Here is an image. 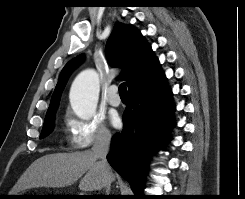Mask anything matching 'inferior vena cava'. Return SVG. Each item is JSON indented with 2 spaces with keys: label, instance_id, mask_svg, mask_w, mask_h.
I'll return each instance as SVG.
<instances>
[{
  "label": "inferior vena cava",
  "instance_id": "inferior-vena-cava-1",
  "mask_svg": "<svg viewBox=\"0 0 245 199\" xmlns=\"http://www.w3.org/2000/svg\"><path fill=\"white\" fill-rule=\"evenodd\" d=\"M111 143V134L109 131H100L98 132L94 145L92 147V152L95 157L98 159L97 164L101 170L104 187L106 192L110 188V179H111V168L107 162L106 156L109 152Z\"/></svg>",
  "mask_w": 245,
  "mask_h": 199
}]
</instances>
